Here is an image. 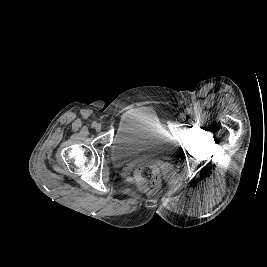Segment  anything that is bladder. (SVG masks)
Returning a JSON list of instances; mask_svg holds the SVG:
<instances>
[{"label":"bladder","mask_w":267,"mask_h":267,"mask_svg":"<svg viewBox=\"0 0 267 267\" xmlns=\"http://www.w3.org/2000/svg\"><path fill=\"white\" fill-rule=\"evenodd\" d=\"M169 146L167 132L156 113L147 107L126 112L110 147V160L124 164L163 153Z\"/></svg>","instance_id":"obj_1"}]
</instances>
